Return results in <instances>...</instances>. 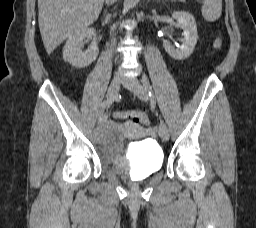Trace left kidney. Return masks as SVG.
I'll use <instances>...</instances> for the list:
<instances>
[{"label":"left kidney","instance_id":"1","mask_svg":"<svg viewBox=\"0 0 256 228\" xmlns=\"http://www.w3.org/2000/svg\"><path fill=\"white\" fill-rule=\"evenodd\" d=\"M176 20V25L183 29L184 38L181 40V46L175 48L169 41H163L165 51L176 60L188 58L195 48L198 40L197 25L193 15L184 11H176L172 14Z\"/></svg>","mask_w":256,"mask_h":228}]
</instances>
